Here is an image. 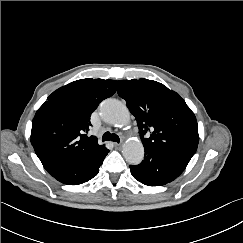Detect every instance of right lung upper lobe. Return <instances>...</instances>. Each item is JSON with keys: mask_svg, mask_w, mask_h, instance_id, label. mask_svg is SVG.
Masks as SVG:
<instances>
[{"mask_svg": "<svg viewBox=\"0 0 243 243\" xmlns=\"http://www.w3.org/2000/svg\"><path fill=\"white\" fill-rule=\"evenodd\" d=\"M116 89V80L87 78L60 87L47 98L35 114L31 131V143L44 168L105 148L86 134L92 112Z\"/></svg>", "mask_w": 243, "mask_h": 243, "instance_id": "obj_1", "label": "right lung upper lobe"}]
</instances>
